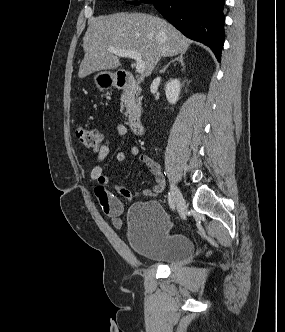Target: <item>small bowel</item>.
I'll list each match as a JSON object with an SVG mask.
<instances>
[{
    "label": "small bowel",
    "mask_w": 285,
    "mask_h": 332,
    "mask_svg": "<svg viewBox=\"0 0 285 332\" xmlns=\"http://www.w3.org/2000/svg\"><path fill=\"white\" fill-rule=\"evenodd\" d=\"M116 131L121 137L128 135V128L122 124H116ZM110 153V141L105 139L104 143L97 150L96 163L90 172V178L96 183L95 195L106 215H108L112 224L116 228L122 226V220L120 218L124 210L123 202L120 198L123 197L127 201H132L137 197H154L162 192L164 188V178L161 173L160 165L149 156L142 154L139 156V161L146 165L151 174L155 177V185L150 189H144L141 191H132L124 186L114 185L113 189L115 193L106 189L110 179L104 173V161ZM139 154V148L136 145H130L120 151L116 155L118 162H123L126 158L136 156Z\"/></svg>",
    "instance_id": "c3829d8e"
}]
</instances>
